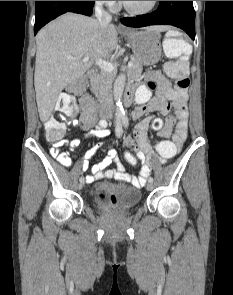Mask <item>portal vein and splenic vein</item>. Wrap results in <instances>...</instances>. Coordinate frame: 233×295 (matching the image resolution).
Returning a JSON list of instances; mask_svg holds the SVG:
<instances>
[{
    "label": "portal vein and splenic vein",
    "instance_id": "18ae733b",
    "mask_svg": "<svg viewBox=\"0 0 233 295\" xmlns=\"http://www.w3.org/2000/svg\"><path fill=\"white\" fill-rule=\"evenodd\" d=\"M67 58L68 59H71V60H75L77 59L76 57H73V56H70V55H67ZM83 61L84 62H87L89 61V57L88 56H85L83 58ZM95 62L96 64L103 70L105 71H108V72H113L115 70V66L112 64V63H109V62H106L105 60L101 59V58H96L95 59ZM133 65V61H129L128 63V67H131Z\"/></svg>",
    "mask_w": 233,
    "mask_h": 295
}]
</instances>
